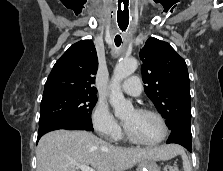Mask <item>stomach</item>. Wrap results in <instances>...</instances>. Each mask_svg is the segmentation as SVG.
<instances>
[{"label":"stomach","mask_w":223,"mask_h":171,"mask_svg":"<svg viewBox=\"0 0 223 171\" xmlns=\"http://www.w3.org/2000/svg\"><path fill=\"white\" fill-rule=\"evenodd\" d=\"M137 171H160V167L155 160L147 159L138 164Z\"/></svg>","instance_id":"obj_1"}]
</instances>
